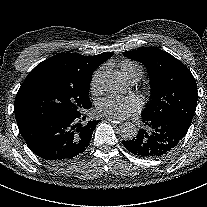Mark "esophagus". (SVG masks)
Segmentation results:
<instances>
[{
    "mask_svg": "<svg viewBox=\"0 0 207 207\" xmlns=\"http://www.w3.org/2000/svg\"><path fill=\"white\" fill-rule=\"evenodd\" d=\"M108 121H111L113 126H118L120 124V119L118 117L106 116Z\"/></svg>",
    "mask_w": 207,
    "mask_h": 207,
    "instance_id": "34e87169",
    "label": "esophagus"
}]
</instances>
